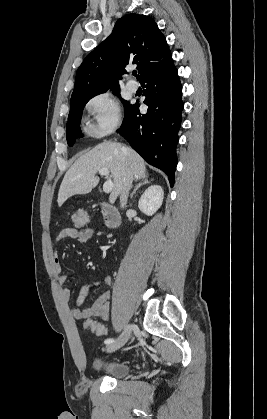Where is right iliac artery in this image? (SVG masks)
Returning a JSON list of instances; mask_svg holds the SVG:
<instances>
[{"instance_id":"82829eb1","label":"right iliac artery","mask_w":267,"mask_h":419,"mask_svg":"<svg viewBox=\"0 0 267 419\" xmlns=\"http://www.w3.org/2000/svg\"><path fill=\"white\" fill-rule=\"evenodd\" d=\"M113 342H115V340L113 338H108L104 341L105 344H111Z\"/></svg>"}]
</instances>
